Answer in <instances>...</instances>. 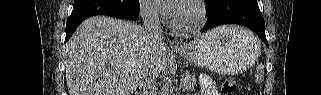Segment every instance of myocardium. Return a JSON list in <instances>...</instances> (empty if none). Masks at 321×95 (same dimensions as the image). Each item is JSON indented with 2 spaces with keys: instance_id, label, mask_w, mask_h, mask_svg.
<instances>
[{
  "instance_id": "obj_1",
  "label": "myocardium",
  "mask_w": 321,
  "mask_h": 95,
  "mask_svg": "<svg viewBox=\"0 0 321 95\" xmlns=\"http://www.w3.org/2000/svg\"><path fill=\"white\" fill-rule=\"evenodd\" d=\"M182 7H189L194 10L196 16L195 21L189 26L182 27L172 18L169 22L170 29L179 34H192L197 32L207 18V11L204 3L200 0H188L182 4Z\"/></svg>"
}]
</instances>
